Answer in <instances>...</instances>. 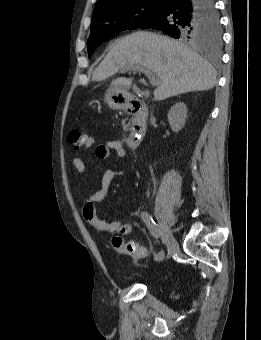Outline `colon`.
Wrapping results in <instances>:
<instances>
[{
  "label": "colon",
  "instance_id": "obj_1",
  "mask_svg": "<svg viewBox=\"0 0 261 340\" xmlns=\"http://www.w3.org/2000/svg\"><path fill=\"white\" fill-rule=\"evenodd\" d=\"M86 137L87 135L82 127H75L69 134V142L72 143L75 148H80ZM111 246L116 252L136 259L143 258L146 254L143 246L134 241H125L120 236H114L111 239Z\"/></svg>",
  "mask_w": 261,
  "mask_h": 340
}]
</instances>
